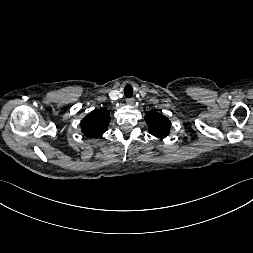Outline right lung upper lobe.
<instances>
[{"mask_svg":"<svg viewBox=\"0 0 253 253\" xmlns=\"http://www.w3.org/2000/svg\"><path fill=\"white\" fill-rule=\"evenodd\" d=\"M110 122L109 111L94 110L81 121L82 132L90 137H99L107 131Z\"/></svg>","mask_w":253,"mask_h":253,"instance_id":"1","label":"right lung upper lobe"}]
</instances>
